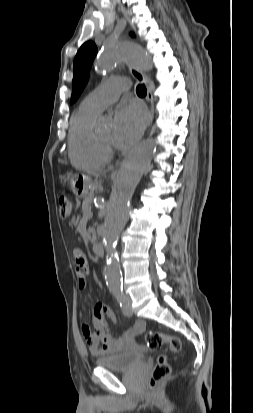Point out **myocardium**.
<instances>
[{
	"label": "myocardium",
	"instance_id": "obj_1",
	"mask_svg": "<svg viewBox=\"0 0 253 413\" xmlns=\"http://www.w3.org/2000/svg\"><path fill=\"white\" fill-rule=\"evenodd\" d=\"M96 141L101 150L104 151L106 154H108L111 151V145L109 142L102 140L99 136H96Z\"/></svg>",
	"mask_w": 253,
	"mask_h": 413
}]
</instances>
